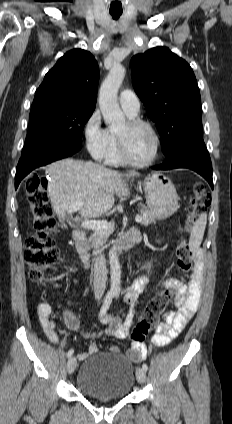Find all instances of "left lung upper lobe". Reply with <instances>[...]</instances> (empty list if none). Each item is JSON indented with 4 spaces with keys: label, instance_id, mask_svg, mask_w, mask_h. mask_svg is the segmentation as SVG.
I'll return each instance as SVG.
<instances>
[{
    "label": "left lung upper lobe",
    "instance_id": "1",
    "mask_svg": "<svg viewBox=\"0 0 232 424\" xmlns=\"http://www.w3.org/2000/svg\"><path fill=\"white\" fill-rule=\"evenodd\" d=\"M135 92L156 123L163 153L185 136L202 130L201 97L190 65L166 47L131 59Z\"/></svg>",
    "mask_w": 232,
    "mask_h": 424
}]
</instances>
